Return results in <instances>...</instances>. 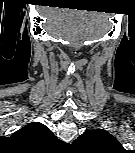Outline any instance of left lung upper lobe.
Listing matches in <instances>:
<instances>
[{"label": "left lung upper lobe", "instance_id": "1", "mask_svg": "<svg viewBox=\"0 0 135 153\" xmlns=\"http://www.w3.org/2000/svg\"><path fill=\"white\" fill-rule=\"evenodd\" d=\"M74 144L90 153H120L122 145L109 132L103 129L85 131Z\"/></svg>", "mask_w": 135, "mask_h": 153}]
</instances>
